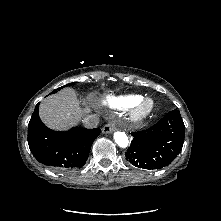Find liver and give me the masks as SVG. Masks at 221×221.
Returning a JSON list of instances; mask_svg holds the SVG:
<instances>
[{"label": "liver", "instance_id": "liver-1", "mask_svg": "<svg viewBox=\"0 0 221 221\" xmlns=\"http://www.w3.org/2000/svg\"><path fill=\"white\" fill-rule=\"evenodd\" d=\"M88 109L81 108V102L75 91L65 88L59 93L45 98L39 108V115L43 123L54 130H67L75 126L82 114Z\"/></svg>", "mask_w": 221, "mask_h": 221}]
</instances>
